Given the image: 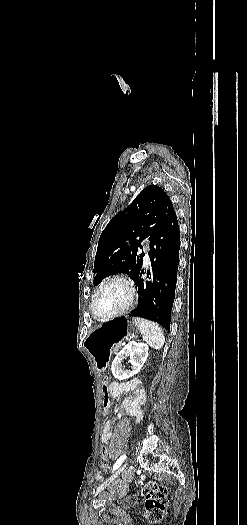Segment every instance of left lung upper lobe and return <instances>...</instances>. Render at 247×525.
Returning <instances> with one entry per match:
<instances>
[{
    "label": "left lung upper lobe",
    "instance_id": "5c2ea615",
    "mask_svg": "<svg viewBox=\"0 0 247 525\" xmlns=\"http://www.w3.org/2000/svg\"><path fill=\"white\" fill-rule=\"evenodd\" d=\"M174 213L173 204L162 188L156 185L144 188L101 233L94 261V285L115 273H127L135 280L144 256L143 252L137 255L138 247L142 248L144 239L150 241Z\"/></svg>",
    "mask_w": 247,
    "mask_h": 525
}]
</instances>
